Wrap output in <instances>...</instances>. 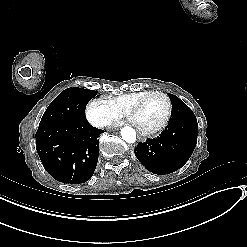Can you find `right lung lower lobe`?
<instances>
[{
  "label": "right lung lower lobe",
  "instance_id": "obj_1",
  "mask_svg": "<svg viewBox=\"0 0 247 247\" xmlns=\"http://www.w3.org/2000/svg\"><path fill=\"white\" fill-rule=\"evenodd\" d=\"M102 132L87 120L39 126L36 149L44 168L59 182L78 184L89 180L98 162V137Z\"/></svg>",
  "mask_w": 247,
  "mask_h": 247
}]
</instances>
